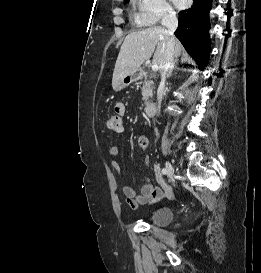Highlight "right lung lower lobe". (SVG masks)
<instances>
[{"mask_svg":"<svg viewBox=\"0 0 261 273\" xmlns=\"http://www.w3.org/2000/svg\"><path fill=\"white\" fill-rule=\"evenodd\" d=\"M211 0H194V5L188 10L179 12L176 37L181 41L186 51L195 59L200 69L208 63L210 51L209 11Z\"/></svg>","mask_w":261,"mask_h":273,"instance_id":"98d812e1","label":"right lung lower lobe"}]
</instances>
